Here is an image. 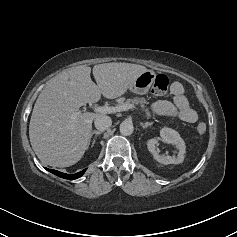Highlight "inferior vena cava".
I'll return each mask as SVG.
<instances>
[{
  "instance_id": "inferior-vena-cava-1",
  "label": "inferior vena cava",
  "mask_w": 237,
  "mask_h": 237,
  "mask_svg": "<svg viewBox=\"0 0 237 237\" xmlns=\"http://www.w3.org/2000/svg\"><path fill=\"white\" fill-rule=\"evenodd\" d=\"M94 124L98 130L104 131L111 126L112 120L107 115H99L98 117H96Z\"/></svg>"
}]
</instances>
